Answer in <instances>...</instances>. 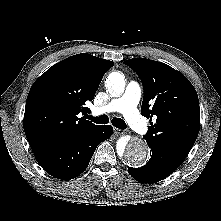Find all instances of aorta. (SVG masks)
Segmentation results:
<instances>
[{
	"label": "aorta",
	"mask_w": 221,
	"mask_h": 221,
	"mask_svg": "<svg viewBox=\"0 0 221 221\" xmlns=\"http://www.w3.org/2000/svg\"><path fill=\"white\" fill-rule=\"evenodd\" d=\"M107 92L119 97L125 90V76L120 72H111L106 80ZM117 152L131 165H142L149 154L146 142L140 138L121 137L117 142Z\"/></svg>",
	"instance_id": "aorta-1"
}]
</instances>
